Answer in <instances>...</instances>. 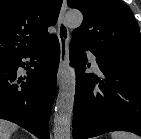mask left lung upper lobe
Instances as JSON below:
<instances>
[{
    "label": "left lung upper lobe",
    "mask_w": 141,
    "mask_h": 139,
    "mask_svg": "<svg viewBox=\"0 0 141 139\" xmlns=\"http://www.w3.org/2000/svg\"><path fill=\"white\" fill-rule=\"evenodd\" d=\"M83 13L72 39L96 51L141 62V35L131 9L122 0H67Z\"/></svg>",
    "instance_id": "left-lung-upper-lobe-1"
}]
</instances>
